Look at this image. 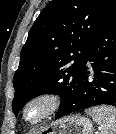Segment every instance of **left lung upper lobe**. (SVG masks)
Segmentation results:
<instances>
[{
	"label": "left lung upper lobe",
	"mask_w": 116,
	"mask_h": 134,
	"mask_svg": "<svg viewBox=\"0 0 116 134\" xmlns=\"http://www.w3.org/2000/svg\"><path fill=\"white\" fill-rule=\"evenodd\" d=\"M114 0H52L31 27L14 74L13 112L32 98L59 94L62 106L77 91L88 46Z\"/></svg>",
	"instance_id": "obj_1"
}]
</instances>
